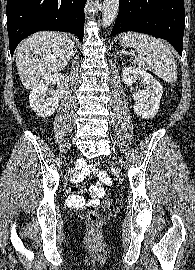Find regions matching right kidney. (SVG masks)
I'll return each mask as SVG.
<instances>
[{"mask_svg": "<svg viewBox=\"0 0 195 270\" xmlns=\"http://www.w3.org/2000/svg\"><path fill=\"white\" fill-rule=\"evenodd\" d=\"M68 82L69 78L67 75L57 73L41 81L37 87L32 89L29 95V103L36 115L48 117L55 113L66 91ZM52 85H56L57 88L56 90H51L50 96H47V92Z\"/></svg>", "mask_w": 195, "mask_h": 270, "instance_id": "1", "label": "right kidney"}]
</instances>
